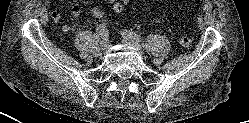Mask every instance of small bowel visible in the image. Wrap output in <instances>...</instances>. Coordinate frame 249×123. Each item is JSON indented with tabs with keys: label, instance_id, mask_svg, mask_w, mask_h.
Wrapping results in <instances>:
<instances>
[{
	"label": "small bowel",
	"instance_id": "obj_1",
	"mask_svg": "<svg viewBox=\"0 0 249 123\" xmlns=\"http://www.w3.org/2000/svg\"><path fill=\"white\" fill-rule=\"evenodd\" d=\"M105 1L107 3H109V4L117 6L118 7V11H120L125 5H127L129 3V0H105ZM152 1L156 2V1H159V0H152ZM80 14H81V10H80L79 6L78 5H74L72 7V9H71V15H72V17L78 18L80 16ZM92 15L94 17H96V18H102L105 15V11L103 9H101L100 7L96 6V7L92 8ZM50 17H51V20L53 22H59L60 19H61V14L59 12H57V11H54V12L51 13ZM100 25H102V24H100ZM100 25H98L97 28ZM62 31L64 33H67V32L70 31V27L67 26V25H64L62 27Z\"/></svg>",
	"mask_w": 249,
	"mask_h": 123
}]
</instances>
